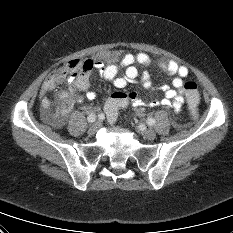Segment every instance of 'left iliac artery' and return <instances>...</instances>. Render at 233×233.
Returning <instances> with one entry per match:
<instances>
[{
	"mask_svg": "<svg viewBox=\"0 0 233 233\" xmlns=\"http://www.w3.org/2000/svg\"><path fill=\"white\" fill-rule=\"evenodd\" d=\"M147 124L150 125V126L154 125V124H155V119H153V118H148Z\"/></svg>",
	"mask_w": 233,
	"mask_h": 233,
	"instance_id": "44dca946",
	"label": "left iliac artery"
}]
</instances>
